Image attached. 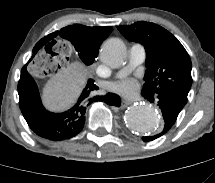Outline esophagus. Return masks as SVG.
Listing matches in <instances>:
<instances>
[{
	"instance_id": "34e87169",
	"label": "esophagus",
	"mask_w": 215,
	"mask_h": 183,
	"mask_svg": "<svg viewBox=\"0 0 215 183\" xmlns=\"http://www.w3.org/2000/svg\"><path fill=\"white\" fill-rule=\"evenodd\" d=\"M132 103H133V101H131V100L123 99L122 103H121V106L126 107V106H128V105H130Z\"/></svg>"
}]
</instances>
